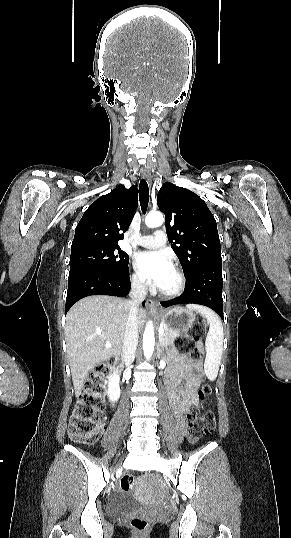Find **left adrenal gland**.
<instances>
[{
	"label": "left adrenal gland",
	"mask_w": 291,
	"mask_h": 538,
	"mask_svg": "<svg viewBox=\"0 0 291 538\" xmlns=\"http://www.w3.org/2000/svg\"><path fill=\"white\" fill-rule=\"evenodd\" d=\"M161 352H162V346H161V343H158L157 344V355H158L159 358H160Z\"/></svg>",
	"instance_id": "1"
}]
</instances>
